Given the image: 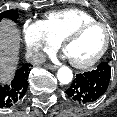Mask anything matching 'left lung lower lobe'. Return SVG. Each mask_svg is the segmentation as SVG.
<instances>
[{"label": "left lung lower lobe", "mask_w": 117, "mask_h": 117, "mask_svg": "<svg viewBox=\"0 0 117 117\" xmlns=\"http://www.w3.org/2000/svg\"><path fill=\"white\" fill-rule=\"evenodd\" d=\"M110 78L111 66L107 62H102L90 72L77 74L66 93L78 103L94 102L106 92Z\"/></svg>", "instance_id": "left-lung-lower-lobe-1"}]
</instances>
